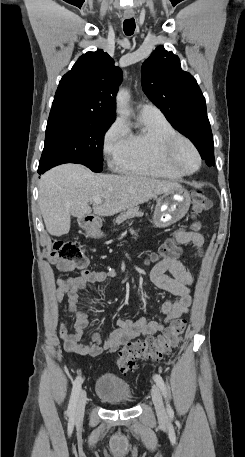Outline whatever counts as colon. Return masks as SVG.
I'll return each mask as SVG.
<instances>
[{
	"label": "colon",
	"mask_w": 245,
	"mask_h": 457,
	"mask_svg": "<svg viewBox=\"0 0 245 457\" xmlns=\"http://www.w3.org/2000/svg\"><path fill=\"white\" fill-rule=\"evenodd\" d=\"M210 205L209 198L202 191H196L193 194L195 212H204ZM179 252L180 248L177 242L174 239H169L160 246L152 260L173 258ZM51 255L55 259L70 261L79 268H85L88 263L84 248L73 240H54ZM186 326V320L175 319L157 336H149L145 340L126 343L118 352L115 360L119 371L126 375L136 368V361L139 359L160 360L169 355L180 343Z\"/></svg>",
	"instance_id": "obj_1"
}]
</instances>
